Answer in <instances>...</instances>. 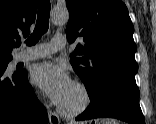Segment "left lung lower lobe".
Returning <instances> with one entry per match:
<instances>
[{
    "mask_svg": "<svg viewBox=\"0 0 156 124\" xmlns=\"http://www.w3.org/2000/svg\"><path fill=\"white\" fill-rule=\"evenodd\" d=\"M90 101V105L76 120L110 117L130 124H145L139 105V94L112 88L90 98Z\"/></svg>",
    "mask_w": 156,
    "mask_h": 124,
    "instance_id": "left-lung-lower-lobe-1",
    "label": "left lung lower lobe"
}]
</instances>
